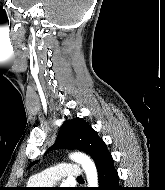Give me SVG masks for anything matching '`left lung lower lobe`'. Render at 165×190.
Here are the masks:
<instances>
[{
	"mask_svg": "<svg viewBox=\"0 0 165 190\" xmlns=\"http://www.w3.org/2000/svg\"><path fill=\"white\" fill-rule=\"evenodd\" d=\"M96 168L99 177V187L96 190H120L118 173L113 166V158L110 154L96 163Z\"/></svg>",
	"mask_w": 165,
	"mask_h": 190,
	"instance_id": "left-lung-lower-lobe-1",
	"label": "left lung lower lobe"
}]
</instances>
